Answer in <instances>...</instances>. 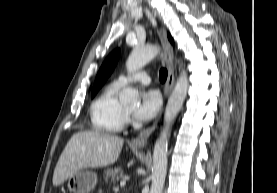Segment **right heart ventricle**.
Returning <instances> with one entry per match:
<instances>
[{
	"instance_id": "e07e8e85",
	"label": "right heart ventricle",
	"mask_w": 277,
	"mask_h": 193,
	"mask_svg": "<svg viewBox=\"0 0 277 193\" xmlns=\"http://www.w3.org/2000/svg\"><path fill=\"white\" fill-rule=\"evenodd\" d=\"M119 86L112 83L106 86L92 102L89 110L91 127L103 134L120 132L125 125L126 116L117 99Z\"/></svg>"
}]
</instances>
